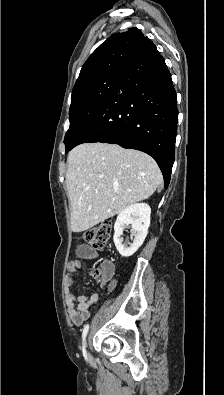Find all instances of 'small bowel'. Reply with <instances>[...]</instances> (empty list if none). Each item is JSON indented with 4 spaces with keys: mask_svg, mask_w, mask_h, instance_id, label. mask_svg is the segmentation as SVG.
I'll list each match as a JSON object with an SVG mask.
<instances>
[{
    "mask_svg": "<svg viewBox=\"0 0 224 395\" xmlns=\"http://www.w3.org/2000/svg\"><path fill=\"white\" fill-rule=\"evenodd\" d=\"M97 256L98 253L96 249L87 244H82L77 248V258L70 261L67 265L65 278L66 304L70 319L75 325H81L90 317V309L98 301L99 295L97 293H93L90 296L79 294L72 289V285L82 267V260L95 259ZM108 282L109 290H112L116 285V282L113 280L112 266L108 278L101 281V286H104Z\"/></svg>",
    "mask_w": 224,
    "mask_h": 395,
    "instance_id": "c3829d8e",
    "label": "small bowel"
}]
</instances>
